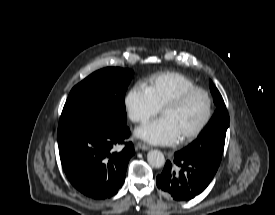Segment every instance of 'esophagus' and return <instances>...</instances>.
<instances>
[{
  "label": "esophagus",
  "instance_id": "esophagus-1",
  "mask_svg": "<svg viewBox=\"0 0 275 215\" xmlns=\"http://www.w3.org/2000/svg\"><path fill=\"white\" fill-rule=\"evenodd\" d=\"M137 147L141 150L147 151L150 149V147L148 145H146L145 143L142 142H137Z\"/></svg>",
  "mask_w": 275,
  "mask_h": 215
}]
</instances>
